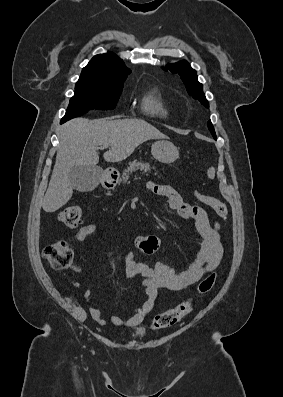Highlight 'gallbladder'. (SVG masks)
Here are the masks:
<instances>
[{
    "mask_svg": "<svg viewBox=\"0 0 283 397\" xmlns=\"http://www.w3.org/2000/svg\"><path fill=\"white\" fill-rule=\"evenodd\" d=\"M102 174V169L95 166H74L69 173L72 187L80 192H90L95 189Z\"/></svg>",
    "mask_w": 283,
    "mask_h": 397,
    "instance_id": "bac80fb5",
    "label": "gallbladder"
}]
</instances>
